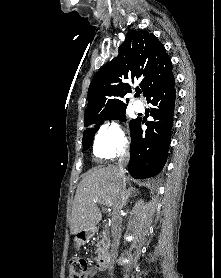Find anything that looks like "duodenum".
Masks as SVG:
<instances>
[{
    "label": "duodenum",
    "mask_w": 221,
    "mask_h": 278,
    "mask_svg": "<svg viewBox=\"0 0 221 278\" xmlns=\"http://www.w3.org/2000/svg\"><path fill=\"white\" fill-rule=\"evenodd\" d=\"M94 230H82L80 234L78 235V241L80 243H85L88 241L89 238H91L94 235ZM110 255L108 252H103L98 254L97 256V264L96 267L99 270H104L107 268L109 263Z\"/></svg>",
    "instance_id": "obj_1"
}]
</instances>
